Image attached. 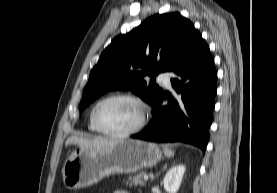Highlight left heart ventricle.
I'll list each match as a JSON object with an SVG mask.
<instances>
[{
	"label": "left heart ventricle",
	"instance_id": "1",
	"mask_svg": "<svg viewBox=\"0 0 277 193\" xmlns=\"http://www.w3.org/2000/svg\"><path fill=\"white\" fill-rule=\"evenodd\" d=\"M96 116L104 129L121 132L133 128L139 122L141 109L133 101L115 99L101 104Z\"/></svg>",
	"mask_w": 277,
	"mask_h": 193
}]
</instances>
